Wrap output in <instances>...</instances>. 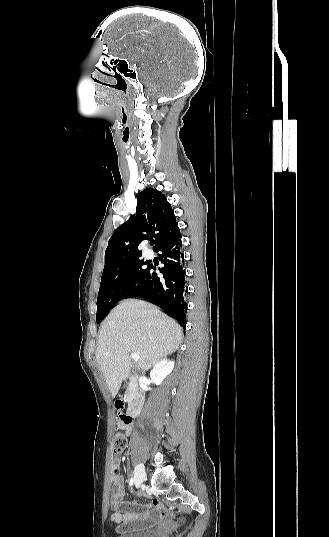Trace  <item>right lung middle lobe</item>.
Masks as SVG:
<instances>
[{"label": "right lung middle lobe", "mask_w": 329, "mask_h": 537, "mask_svg": "<svg viewBox=\"0 0 329 537\" xmlns=\"http://www.w3.org/2000/svg\"><path fill=\"white\" fill-rule=\"evenodd\" d=\"M145 265L144 260L135 258L126 263L104 267L97 299V323L138 284L147 270Z\"/></svg>", "instance_id": "1"}]
</instances>
